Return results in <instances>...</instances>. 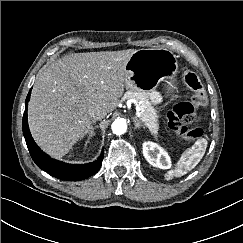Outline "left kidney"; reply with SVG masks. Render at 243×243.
Returning a JSON list of instances; mask_svg holds the SVG:
<instances>
[{"label":"left kidney","instance_id":"5707ae66","mask_svg":"<svg viewBox=\"0 0 243 243\" xmlns=\"http://www.w3.org/2000/svg\"><path fill=\"white\" fill-rule=\"evenodd\" d=\"M143 155L154 167L160 169H169L171 167V159L168 153L154 142L143 143Z\"/></svg>","mask_w":243,"mask_h":243}]
</instances>
